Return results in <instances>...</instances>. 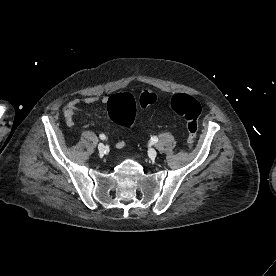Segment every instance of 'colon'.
Returning <instances> with one entry per match:
<instances>
[{
    "label": "colon",
    "instance_id": "5ec220e1",
    "mask_svg": "<svg viewBox=\"0 0 276 276\" xmlns=\"http://www.w3.org/2000/svg\"><path fill=\"white\" fill-rule=\"evenodd\" d=\"M156 94L151 89L139 93L138 100L130 93H119L111 96L107 102V111L111 120L125 127H131L135 121L137 104L142 108L152 105ZM172 110L187 122V147L193 149L198 129V119L201 114V104L192 96L178 93L171 99Z\"/></svg>",
    "mask_w": 276,
    "mask_h": 276
}]
</instances>
